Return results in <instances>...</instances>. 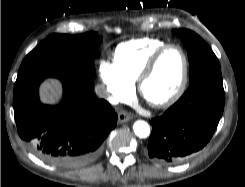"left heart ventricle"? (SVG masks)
Returning <instances> with one entry per match:
<instances>
[{"label": "left heart ventricle", "mask_w": 245, "mask_h": 187, "mask_svg": "<svg viewBox=\"0 0 245 187\" xmlns=\"http://www.w3.org/2000/svg\"><path fill=\"white\" fill-rule=\"evenodd\" d=\"M183 70V59L177 49L168 50L159 59L154 72L143 86L146 100L158 102L171 95L177 88Z\"/></svg>", "instance_id": "1"}]
</instances>
